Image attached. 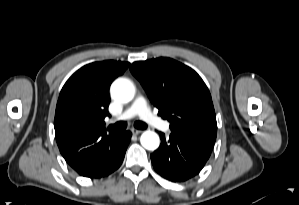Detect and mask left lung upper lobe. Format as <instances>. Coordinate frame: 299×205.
Returning a JSON list of instances; mask_svg holds the SVG:
<instances>
[{
    "label": "left lung upper lobe",
    "instance_id": "5c2ea615",
    "mask_svg": "<svg viewBox=\"0 0 299 205\" xmlns=\"http://www.w3.org/2000/svg\"><path fill=\"white\" fill-rule=\"evenodd\" d=\"M130 70L172 131L217 133L210 92L193 69L161 57L134 62Z\"/></svg>",
    "mask_w": 299,
    "mask_h": 205
}]
</instances>
